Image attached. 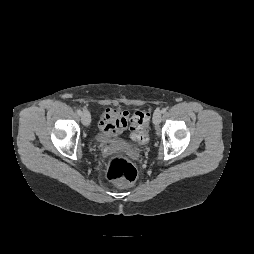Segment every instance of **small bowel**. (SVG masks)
Here are the masks:
<instances>
[{"label":"small bowel","mask_w":254,"mask_h":254,"mask_svg":"<svg viewBox=\"0 0 254 254\" xmlns=\"http://www.w3.org/2000/svg\"><path fill=\"white\" fill-rule=\"evenodd\" d=\"M129 121L130 113L127 110L108 108L99 120V129L107 138L116 137L127 129Z\"/></svg>","instance_id":"1"}]
</instances>
